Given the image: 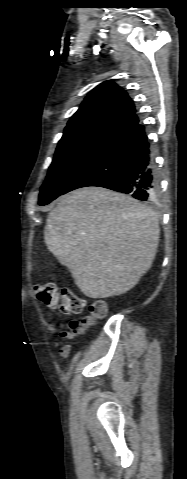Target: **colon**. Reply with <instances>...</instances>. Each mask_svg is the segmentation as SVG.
Returning <instances> with one entry per match:
<instances>
[{"instance_id":"5ec220e1","label":"colon","mask_w":187,"mask_h":479,"mask_svg":"<svg viewBox=\"0 0 187 479\" xmlns=\"http://www.w3.org/2000/svg\"><path fill=\"white\" fill-rule=\"evenodd\" d=\"M34 293L36 297L47 307H58L66 315H77L83 312L85 302L78 297L72 289L62 288L60 290L50 283H40L35 285ZM90 315L80 320H71L67 325V330L62 333L63 337H73L83 333L90 328L94 321L101 319L106 315L107 306L103 300H95L89 306Z\"/></svg>"}]
</instances>
